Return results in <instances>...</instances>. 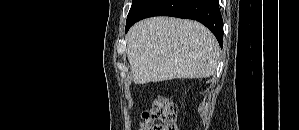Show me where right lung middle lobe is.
Wrapping results in <instances>:
<instances>
[{
  "mask_svg": "<svg viewBox=\"0 0 299 130\" xmlns=\"http://www.w3.org/2000/svg\"><path fill=\"white\" fill-rule=\"evenodd\" d=\"M147 0H133L132 1V6L130 8L127 21L126 23L128 24L131 19L133 18L134 14L139 10V8L146 2Z\"/></svg>",
  "mask_w": 299,
  "mask_h": 130,
  "instance_id": "1",
  "label": "right lung middle lobe"
}]
</instances>
